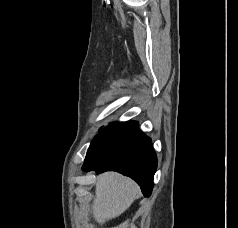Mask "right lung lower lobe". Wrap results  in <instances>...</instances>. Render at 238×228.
<instances>
[{
  "mask_svg": "<svg viewBox=\"0 0 238 228\" xmlns=\"http://www.w3.org/2000/svg\"><path fill=\"white\" fill-rule=\"evenodd\" d=\"M135 121L112 123L92 141L83 165L84 171H118L131 177L149 197L157 168L151 139Z\"/></svg>",
  "mask_w": 238,
  "mask_h": 228,
  "instance_id": "1",
  "label": "right lung lower lobe"
}]
</instances>
